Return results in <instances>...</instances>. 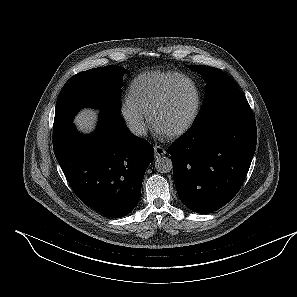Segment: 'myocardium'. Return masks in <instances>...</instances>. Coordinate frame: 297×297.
<instances>
[{
	"mask_svg": "<svg viewBox=\"0 0 297 297\" xmlns=\"http://www.w3.org/2000/svg\"><path fill=\"white\" fill-rule=\"evenodd\" d=\"M180 81H186L191 85L193 92H194V103H193L190 115L188 116L186 121L182 125H180L178 128L174 129L173 131L163 134L164 136H166L168 138H176V137H179V136L183 135L184 133H186L194 124V122L198 116V113H199L200 92L197 87V84L189 76L179 74L166 86L162 95L159 97V99L155 102V104L150 109L148 116H149V121H150L152 128L155 131H157V129L155 127V116L165 106V104L167 103V101L170 98L173 88Z\"/></svg>",
	"mask_w": 297,
	"mask_h": 297,
	"instance_id": "1",
	"label": "myocardium"
}]
</instances>
